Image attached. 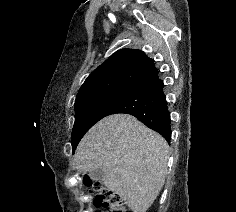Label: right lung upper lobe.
Wrapping results in <instances>:
<instances>
[{
	"label": "right lung upper lobe",
	"instance_id": "1",
	"mask_svg": "<svg viewBox=\"0 0 236 212\" xmlns=\"http://www.w3.org/2000/svg\"><path fill=\"white\" fill-rule=\"evenodd\" d=\"M155 70L154 61L141 50H118L88 76L76 100L120 89H133Z\"/></svg>",
	"mask_w": 236,
	"mask_h": 212
}]
</instances>
